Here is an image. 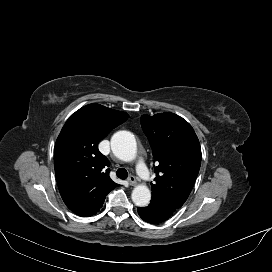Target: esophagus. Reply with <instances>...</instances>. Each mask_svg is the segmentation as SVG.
Masks as SVG:
<instances>
[{
	"label": "esophagus",
	"mask_w": 272,
	"mask_h": 272,
	"mask_svg": "<svg viewBox=\"0 0 272 272\" xmlns=\"http://www.w3.org/2000/svg\"><path fill=\"white\" fill-rule=\"evenodd\" d=\"M128 182L132 186L136 185V183H137L136 178L133 175L129 176Z\"/></svg>",
	"instance_id": "34e87169"
}]
</instances>
